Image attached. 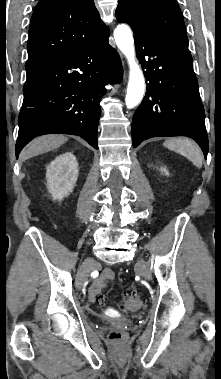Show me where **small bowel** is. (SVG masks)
Instances as JSON below:
<instances>
[{
    "mask_svg": "<svg viewBox=\"0 0 221 379\" xmlns=\"http://www.w3.org/2000/svg\"><path fill=\"white\" fill-rule=\"evenodd\" d=\"M115 278L114 272L110 268H105L102 277L96 279L89 288V298L92 302L96 301L100 295L106 281H113Z\"/></svg>",
    "mask_w": 221,
    "mask_h": 379,
    "instance_id": "1",
    "label": "small bowel"
}]
</instances>
